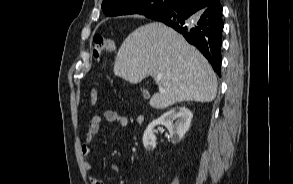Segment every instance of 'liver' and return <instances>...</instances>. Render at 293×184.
<instances>
[{"label": "liver", "mask_w": 293, "mask_h": 184, "mask_svg": "<svg viewBox=\"0 0 293 184\" xmlns=\"http://www.w3.org/2000/svg\"><path fill=\"white\" fill-rule=\"evenodd\" d=\"M113 72L134 84L152 76L159 86V93L150 100L156 109L183 101L210 102L217 94V77L207 59L159 22L138 27L123 41Z\"/></svg>", "instance_id": "liver-1"}]
</instances>
